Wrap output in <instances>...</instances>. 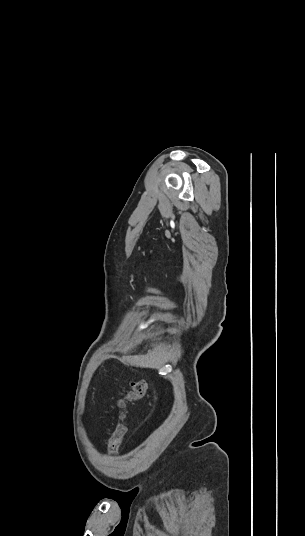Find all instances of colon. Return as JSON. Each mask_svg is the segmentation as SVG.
Instances as JSON below:
<instances>
[{
  "mask_svg": "<svg viewBox=\"0 0 305 536\" xmlns=\"http://www.w3.org/2000/svg\"><path fill=\"white\" fill-rule=\"evenodd\" d=\"M147 393V383L144 379L132 380L130 382V389L121 397L116 400V407L118 409L117 423L115 431L110 439L109 447L112 451L117 449L121 444L126 432V406L129 403L142 400Z\"/></svg>",
  "mask_w": 305,
  "mask_h": 536,
  "instance_id": "obj_1",
  "label": "colon"
}]
</instances>
